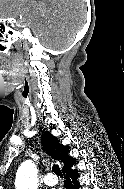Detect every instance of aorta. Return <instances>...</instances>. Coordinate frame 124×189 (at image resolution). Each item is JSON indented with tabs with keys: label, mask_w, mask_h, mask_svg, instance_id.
Here are the masks:
<instances>
[{
	"label": "aorta",
	"mask_w": 124,
	"mask_h": 189,
	"mask_svg": "<svg viewBox=\"0 0 124 189\" xmlns=\"http://www.w3.org/2000/svg\"><path fill=\"white\" fill-rule=\"evenodd\" d=\"M16 189H37V168L31 160L24 161L18 168L15 180Z\"/></svg>",
	"instance_id": "aorta-1"
}]
</instances>
